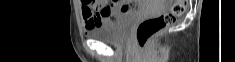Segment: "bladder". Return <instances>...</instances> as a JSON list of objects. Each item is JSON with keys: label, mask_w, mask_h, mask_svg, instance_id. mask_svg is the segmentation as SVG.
Wrapping results in <instances>:
<instances>
[{"label": "bladder", "mask_w": 235, "mask_h": 62, "mask_svg": "<svg viewBox=\"0 0 235 62\" xmlns=\"http://www.w3.org/2000/svg\"><path fill=\"white\" fill-rule=\"evenodd\" d=\"M137 14L135 11L121 12L116 18L101 27L89 29L86 35L89 38L108 43H122L128 35L129 29L135 21Z\"/></svg>", "instance_id": "bladder-1"}]
</instances>
